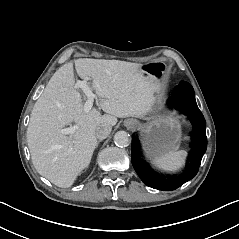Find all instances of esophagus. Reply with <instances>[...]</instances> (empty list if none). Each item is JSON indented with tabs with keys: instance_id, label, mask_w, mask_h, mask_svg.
Instances as JSON below:
<instances>
[{
	"instance_id": "esophagus-1",
	"label": "esophagus",
	"mask_w": 239,
	"mask_h": 239,
	"mask_svg": "<svg viewBox=\"0 0 239 239\" xmlns=\"http://www.w3.org/2000/svg\"><path fill=\"white\" fill-rule=\"evenodd\" d=\"M137 125H138V121L132 120V123H131V125H130V128H136Z\"/></svg>"
}]
</instances>
